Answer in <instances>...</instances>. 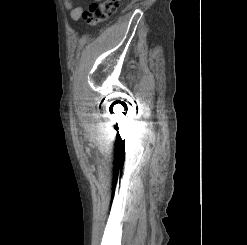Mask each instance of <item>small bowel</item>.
<instances>
[{"label": "small bowel", "mask_w": 247, "mask_h": 245, "mask_svg": "<svg viewBox=\"0 0 247 245\" xmlns=\"http://www.w3.org/2000/svg\"><path fill=\"white\" fill-rule=\"evenodd\" d=\"M66 7L70 10V16L73 20H80L84 14V9L81 6H74L71 0H64Z\"/></svg>", "instance_id": "1"}]
</instances>
